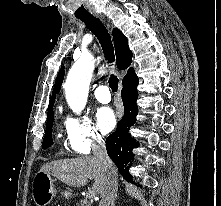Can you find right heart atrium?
Listing matches in <instances>:
<instances>
[{
	"label": "right heart atrium",
	"instance_id": "1",
	"mask_svg": "<svg viewBox=\"0 0 221 206\" xmlns=\"http://www.w3.org/2000/svg\"><path fill=\"white\" fill-rule=\"evenodd\" d=\"M67 138L70 148L79 154L89 153L104 141L103 136L87 116L68 118Z\"/></svg>",
	"mask_w": 221,
	"mask_h": 206
}]
</instances>
